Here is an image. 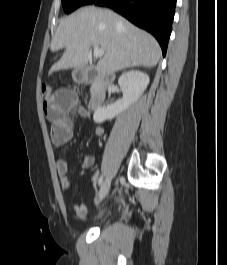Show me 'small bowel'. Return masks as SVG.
<instances>
[{
  "label": "small bowel",
  "mask_w": 227,
  "mask_h": 265,
  "mask_svg": "<svg viewBox=\"0 0 227 265\" xmlns=\"http://www.w3.org/2000/svg\"><path fill=\"white\" fill-rule=\"evenodd\" d=\"M78 96L79 91H69V87H62V91H55V99H51V102H42L45 115L51 123V140L55 146L66 144L74 136V126L69 116L71 110L75 109L82 118L90 117L88 110L84 108L85 104H81V99H78ZM95 134L102 136L104 134L103 127L95 125ZM94 163L95 158L87 155L83 159L82 166L88 169ZM56 168L61 188L64 191H69L70 181L67 162L63 159L58 160ZM96 178L97 176L94 177V181H96ZM74 211L81 219H84L87 215V209L83 204H76Z\"/></svg>",
  "instance_id": "small-bowel-1"
}]
</instances>
